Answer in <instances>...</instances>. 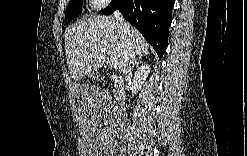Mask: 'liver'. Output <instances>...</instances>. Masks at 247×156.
Here are the masks:
<instances>
[{"mask_svg":"<svg viewBox=\"0 0 247 156\" xmlns=\"http://www.w3.org/2000/svg\"><path fill=\"white\" fill-rule=\"evenodd\" d=\"M128 25V24H127ZM127 34L111 16H92L65 31V52L68 69L74 81L100 68L106 58L121 68L124 55L131 45L135 55L148 54L149 45L137 29L128 25Z\"/></svg>","mask_w":247,"mask_h":156,"instance_id":"liver-1","label":"liver"}]
</instances>
